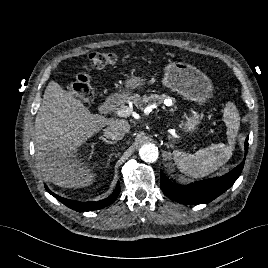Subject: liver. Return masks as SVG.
Here are the masks:
<instances>
[{"label": "liver", "mask_w": 268, "mask_h": 268, "mask_svg": "<svg viewBox=\"0 0 268 268\" xmlns=\"http://www.w3.org/2000/svg\"><path fill=\"white\" fill-rule=\"evenodd\" d=\"M118 124L129 131L126 120L92 114L57 82L47 85L35 119V151L38 167L55 185L89 186L96 174L77 156L89 138L105 126Z\"/></svg>", "instance_id": "1"}]
</instances>
